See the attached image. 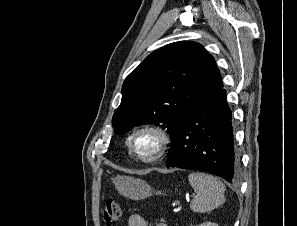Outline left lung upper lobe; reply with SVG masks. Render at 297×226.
Returning <instances> with one entry per match:
<instances>
[{
	"instance_id": "left-lung-upper-lobe-1",
	"label": "left lung upper lobe",
	"mask_w": 297,
	"mask_h": 226,
	"mask_svg": "<svg viewBox=\"0 0 297 226\" xmlns=\"http://www.w3.org/2000/svg\"><path fill=\"white\" fill-rule=\"evenodd\" d=\"M223 86L214 58L195 42H175L151 53L125 79L112 124L124 134L145 123L167 128L173 143L198 101Z\"/></svg>"
}]
</instances>
